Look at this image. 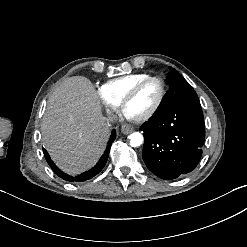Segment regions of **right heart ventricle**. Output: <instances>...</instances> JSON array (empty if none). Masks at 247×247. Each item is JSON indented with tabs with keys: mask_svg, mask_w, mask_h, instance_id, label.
Here are the masks:
<instances>
[{
	"mask_svg": "<svg viewBox=\"0 0 247 247\" xmlns=\"http://www.w3.org/2000/svg\"><path fill=\"white\" fill-rule=\"evenodd\" d=\"M149 74H133L123 76L108 81L104 86V98L113 104H119L122 98L131 90V88Z\"/></svg>",
	"mask_w": 247,
	"mask_h": 247,
	"instance_id": "obj_1",
	"label": "right heart ventricle"
}]
</instances>
